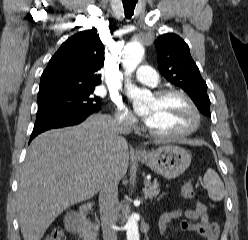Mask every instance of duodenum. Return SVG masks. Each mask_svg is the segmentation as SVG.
I'll return each mask as SVG.
<instances>
[{
  "label": "duodenum",
  "instance_id": "1",
  "mask_svg": "<svg viewBox=\"0 0 248 240\" xmlns=\"http://www.w3.org/2000/svg\"><path fill=\"white\" fill-rule=\"evenodd\" d=\"M90 204L82 205L77 213L73 223L74 228L81 234L83 240H98L96 228L88 221L87 213L91 209Z\"/></svg>",
  "mask_w": 248,
  "mask_h": 240
}]
</instances>
